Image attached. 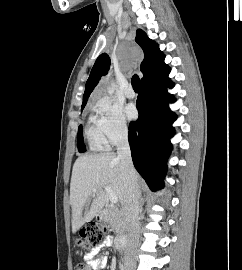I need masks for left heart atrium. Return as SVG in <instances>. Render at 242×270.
<instances>
[{
    "instance_id": "left-heart-atrium-1",
    "label": "left heart atrium",
    "mask_w": 242,
    "mask_h": 270,
    "mask_svg": "<svg viewBox=\"0 0 242 270\" xmlns=\"http://www.w3.org/2000/svg\"><path fill=\"white\" fill-rule=\"evenodd\" d=\"M125 113L129 119H134L137 116V109L134 104L130 103L125 107Z\"/></svg>"
}]
</instances>
